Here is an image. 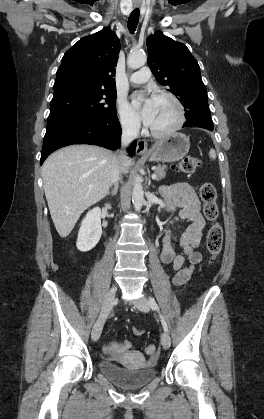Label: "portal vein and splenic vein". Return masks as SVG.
<instances>
[{
    "label": "portal vein and splenic vein",
    "mask_w": 264,
    "mask_h": 419,
    "mask_svg": "<svg viewBox=\"0 0 264 419\" xmlns=\"http://www.w3.org/2000/svg\"><path fill=\"white\" fill-rule=\"evenodd\" d=\"M157 178V175L154 173V174H152V179H156ZM89 188H93V185H89Z\"/></svg>",
    "instance_id": "1"
}]
</instances>
